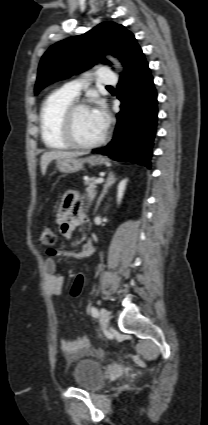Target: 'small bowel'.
Returning <instances> with one entry per match:
<instances>
[{"instance_id":"small-bowel-1","label":"small bowel","mask_w":208,"mask_h":425,"mask_svg":"<svg viewBox=\"0 0 208 425\" xmlns=\"http://www.w3.org/2000/svg\"><path fill=\"white\" fill-rule=\"evenodd\" d=\"M88 222V218L83 212L82 204L79 196L75 191H68L64 196L58 214L57 223L60 228L61 234L70 238L73 230ZM94 252L93 242L85 243L79 251H66V250H48L47 258L44 262L45 269V282L47 292L51 296H59L62 294L64 286V278L56 274L57 264L53 259L55 256L73 257L76 259H84L91 256ZM90 346V341L87 337L83 336L76 340L60 341V348L62 352L71 359H74Z\"/></svg>"}]
</instances>
